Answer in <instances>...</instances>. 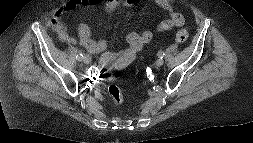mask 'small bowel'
<instances>
[{"instance_id":"obj_1","label":"small bowel","mask_w":253,"mask_h":143,"mask_svg":"<svg viewBox=\"0 0 253 143\" xmlns=\"http://www.w3.org/2000/svg\"><path fill=\"white\" fill-rule=\"evenodd\" d=\"M142 0H69L66 2L56 13L53 18L55 30L59 38L69 44H75L77 41L90 53L101 52L105 49V43L102 41H95L91 37V29L88 24L81 23L78 26L77 36L72 35L66 26L61 22L62 17L78 8L94 6L98 4H104V9L106 11L115 10L120 4L126 6H135L139 4ZM155 2L168 14L169 17L162 22L157 27L159 33L171 30L174 27H180L184 24V16L175 11L171 2L169 0H155ZM152 39V32L143 29L140 32H131L127 35V42L129 47L118 53L107 52L104 57H112L117 61L123 59H129L132 61L135 54L143 47L144 44L148 43ZM103 57V58H104Z\"/></svg>"}]
</instances>
